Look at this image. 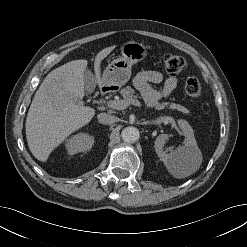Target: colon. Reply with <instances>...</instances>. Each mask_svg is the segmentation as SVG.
<instances>
[{"label": "colon", "mask_w": 247, "mask_h": 247, "mask_svg": "<svg viewBox=\"0 0 247 247\" xmlns=\"http://www.w3.org/2000/svg\"><path fill=\"white\" fill-rule=\"evenodd\" d=\"M164 66L168 74L177 75L187 67V62L179 55L166 54L164 56ZM183 88L185 93L192 97L198 96L201 92L200 83L193 77H187L184 79Z\"/></svg>", "instance_id": "obj_1"}]
</instances>
